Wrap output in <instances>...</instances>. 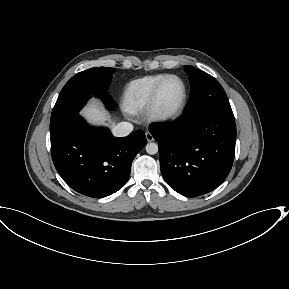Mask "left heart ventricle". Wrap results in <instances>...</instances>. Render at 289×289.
Wrapping results in <instances>:
<instances>
[{
    "label": "left heart ventricle",
    "mask_w": 289,
    "mask_h": 289,
    "mask_svg": "<svg viewBox=\"0 0 289 289\" xmlns=\"http://www.w3.org/2000/svg\"><path fill=\"white\" fill-rule=\"evenodd\" d=\"M183 96V86L177 79L168 80L162 87L159 105L163 110L174 109L181 101Z\"/></svg>",
    "instance_id": "1"
}]
</instances>
